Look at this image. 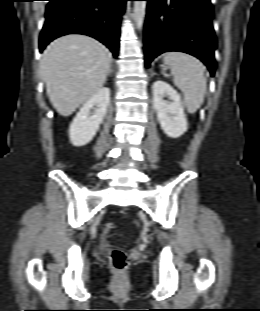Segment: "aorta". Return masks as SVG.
Segmentation results:
<instances>
[{
	"mask_svg": "<svg viewBox=\"0 0 260 311\" xmlns=\"http://www.w3.org/2000/svg\"><path fill=\"white\" fill-rule=\"evenodd\" d=\"M146 1H135L134 2V19L138 29H141L145 19L146 13Z\"/></svg>",
	"mask_w": 260,
	"mask_h": 311,
	"instance_id": "1",
	"label": "aorta"
}]
</instances>
